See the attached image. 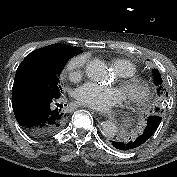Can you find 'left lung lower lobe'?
I'll return each mask as SVG.
<instances>
[{"label": "left lung lower lobe", "mask_w": 177, "mask_h": 177, "mask_svg": "<svg viewBox=\"0 0 177 177\" xmlns=\"http://www.w3.org/2000/svg\"><path fill=\"white\" fill-rule=\"evenodd\" d=\"M162 118L160 115L152 113L149 116L147 123L145 125V129L138 137L134 138H115L112 142V145L119 150L128 151L136 149L142 146L156 131L158 128Z\"/></svg>", "instance_id": "left-lung-lower-lobe-1"}]
</instances>
